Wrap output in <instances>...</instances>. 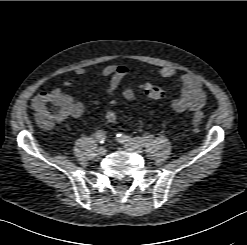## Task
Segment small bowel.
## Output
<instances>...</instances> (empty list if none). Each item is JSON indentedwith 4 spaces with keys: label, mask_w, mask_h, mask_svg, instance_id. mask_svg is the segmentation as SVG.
Segmentation results:
<instances>
[{
    "label": "small bowel",
    "mask_w": 247,
    "mask_h": 245,
    "mask_svg": "<svg viewBox=\"0 0 247 245\" xmlns=\"http://www.w3.org/2000/svg\"><path fill=\"white\" fill-rule=\"evenodd\" d=\"M74 73L77 76H82L87 73H94L102 77H109V81L105 87V93L107 95L113 94L120 84L128 77L129 69L124 65L119 64H109L103 67L99 71H91L85 67H77L74 70ZM156 73L163 78H172L176 77L178 81L182 84V89L177 98L172 102L173 109L179 113L184 114L192 112L201 108L206 102V93L203 89L200 79L192 73H179L176 69L171 67H161ZM65 87H71L73 85L72 79H66L63 82ZM53 93L62 94L71 104V110L68 117L79 118L84 113L85 107L84 104L80 101H75L70 95L64 93L60 89H55ZM124 96L130 102L137 101V95L134 89L130 86L124 88ZM45 92L37 95L33 101V104L37 98Z\"/></svg>",
    "instance_id": "small-bowel-1"
}]
</instances>
